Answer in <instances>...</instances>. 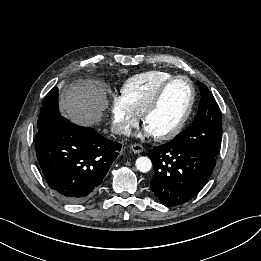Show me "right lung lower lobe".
Returning <instances> with one entry per match:
<instances>
[{
    "mask_svg": "<svg viewBox=\"0 0 261 261\" xmlns=\"http://www.w3.org/2000/svg\"><path fill=\"white\" fill-rule=\"evenodd\" d=\"M35 145L49 187L72 203L85 202L98 192L121 150L120 143L63 117L38 132Z\"/></svg>",
    "mask_w": 261,
    "mask_h": 261,
    "instance_id": "1",
    "label": "right lung lower lobe"
}]
</instances>
